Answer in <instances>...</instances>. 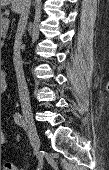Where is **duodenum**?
Here are the masks:
<instances>
[{"label": "duodenum", "mask_w": 109, "mask_h": 170, "mask_svg": "<svg viewBox=\"0 0 109 170\" xmlns=\"http://www.w3.org/2000/svg\"><path fill=\"white\" fill-rule=\"evenodd\" d=\"M7 89V73L3 70L1 71V91H6Z\"/></svg>", "instance_id": "410a0bca"}]
</instances>
